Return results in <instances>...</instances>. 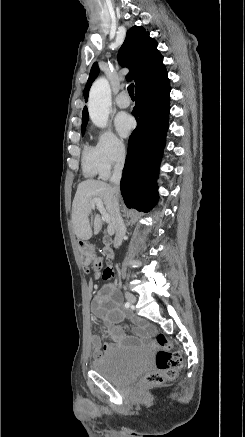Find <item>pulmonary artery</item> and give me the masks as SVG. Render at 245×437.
<instances>
[{"label":"pulmonary artery","instance_id":"pulmonary-artery-1","mask_svg":"<svg viewBox=\"0 0 245 437\" xmlns=\"http://www.w3.org/2000/svg\"><path fill=\"white\" fill-rule=\"evenodd\" d=\"M116 105L119 108H127L130 105V99L125 91H122L117 97H116Z\"/></svg>","mask_w":245,"mask_h":437}]
</instances>
